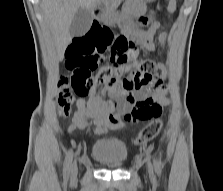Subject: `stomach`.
I'll use <instances>...</instances> for the list:
<instances>
[{
    "label": "stomach",
    "mask_w": 223,
    "mask_h": 191,
    "mask_svg": "<svg viewBox=\"0 0 223 191\" xmlns=\"http://www.w3.org/2000/svg\"><path fill=\"white\" fill-rule=\"evenodd\" d=\"M100 19L110 24L116 23L123 26H133V23L127 19L126 12L124 10L121 12L112 10H103L100 15Z\"/></svg>",
    "instance_id": "obj_1"
}]
</instances>
